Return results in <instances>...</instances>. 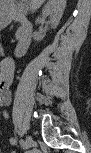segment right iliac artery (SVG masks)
Instances as JSON below:
<instances>
[{"instance_id": "1", "label": "right iliac artery", "mask_w": 91, "mask_h": 153, "mask_svg": "<svg viewBox=\"0 0 91 153\" xmlns=\"http://www.w3.org/2000/svg\"><path fill=\"white\" fill-rule=\"evenodd\" d=\"M19 142H20V145H21L22 147H25L26 142H25L23 139H21Z\"/></svg>"}]
</instances>
